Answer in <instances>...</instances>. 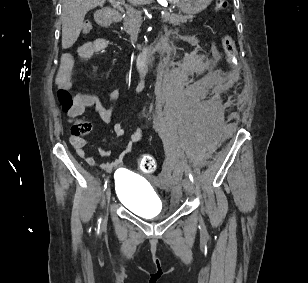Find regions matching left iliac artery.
Instances as JSON below:
<instances>
[{
    "label": "left iliac artery",
    "mask_w": 308,
    "mask_h": 283,
    "mask_svg": "<svg viewBox=\"0 0 308 283\" xmlns=\"http://www.w3.org/2000/svg\"><path fill=\"white\" fill-rule=\"evenodd\" d=\"M186 173L189 176L190 180L193 182L194 181L193 173H192V170L188 166H186Z\"/></svg>",
    "instance_id": "44dca946"
}]
</instances>
